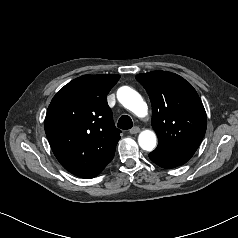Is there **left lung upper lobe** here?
I'll use <instances>...</instances> for the list:
<instances>
[{"label": "left lung upper lobe", "instance_id": "left-lung-upper-lobe-1", "mask_svg": "<svg viewBox=\"0 0 238 238\" xmlns=\"http://www.w3.org/2000/svg\"><path fill=\"white\" fill-rule=\"evenodd\" d=\"M152 105L151 124L158 145L193 155L207 127L204 106L192 85L177 74L153 71L136 75Z\"/></svg>", "mask_w": 238, "mask_h": 238}]
</instances>
